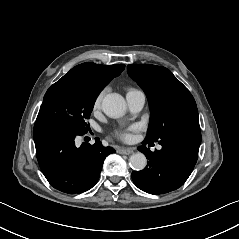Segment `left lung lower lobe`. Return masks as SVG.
<instances>
[{
	"label": "left lung lower lobe",
	"mask_w": 239,
	"mask_h": 239,
	"mask_svg": "<svg viewBox=\"0 0 239 239\" xmlns=\"http://www.w3.org/2000/svg\"><path fill=\"white\" fill-rule=\"evenodd\" d=\"M147 143L145 140L143 145ZM200 143V128L184 126L161 137V150L151 152L145 146L138 147L149 161L142 171L132 172L133 182L150 194H164L178 189L193 171Z\"/></svg>",
	"instance_id": "obj_1"
}]
</instances>
